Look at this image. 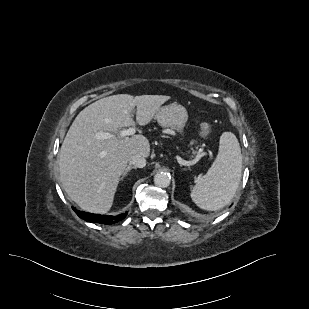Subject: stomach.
I'll list each match as a JSON object with an SVG mask.
<instances>
[{
    "instance_id": "obj_1",
    "label": "stomach",
    "mask_w": 309,
    "mask_h": 309,
    "mask_svg": "<svg viewBox=\"0 0 309 309\" xmlns=\"http://www.w3.org/2000/svg\"><path fill=\"white\" fill-rule=\"evenodd\" d=\"M158 123L163 127H170L181 136L184 135V127L188 120V113L184 106L172 103L161 107L156 113Z\"/></svg>"
}]
</instances>
